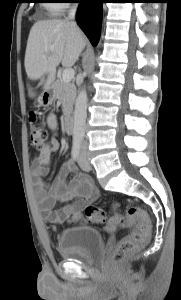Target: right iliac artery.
Masks as SVG:
<instances>
[{
  "label": "right iliac artery",
  "instance_id": "1",
  "mask_svg": "<svg viewBox=\"0 0 181 300\" xmlns=\"http://www.w3.org/2000/svg\"><path fill=\"white\" fill-rule=\"evenodd\" d=\"M81 150V140L80 139H74L73 146H72V158L74 160H77L80 154Z\"/></svg>",
  "mask_w": 181,
  "mask_h": 300
}]
</instances>
